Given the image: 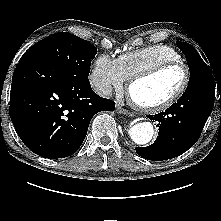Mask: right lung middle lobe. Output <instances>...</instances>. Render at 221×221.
<instances>
[{"label": "right lung middle lobe", "instance_id": "dd1d6c3e", "mask_svg": "<svg viewBox=\"0 0 221 221\" xmlns=\"http://www.w3.org/2000/svg\"><path fill=\"white\" fill-rule=\"evenodd\" d=\"M97 49L90 42L67 32L52 34L31 46L24 55H31L88 79L91 61Z\"/></svg>", "mask_w": 221, "mask_h": 221}]
</instances>
